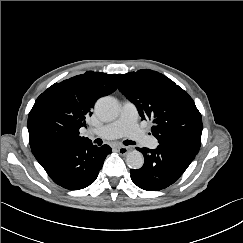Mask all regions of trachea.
Masks as SVG:
<instances>
[{"mask_svg": "<svg viewBox=\"0 0 243 243\" xmlns=\"http://www.w3.org/2000/svg\"><path fill=\"white\" fill-rule=\"evenodd\" d=\"M95 142L98 143L99 145L102 144V140L101 139H96ZM124 144L125 145H135V142L132 141V140H125Z\"/></svg>", "mask_w": 243, "mask_h": 243, "instance_id": "1", "label": "trachea"}]
</instances>
